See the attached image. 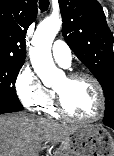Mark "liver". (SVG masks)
Here are the masks:
<instances>
[{"label":"liver","mask_w":114,"mask_h":156,"mask_svg":"<svg viewBox=\"0 0 114 156\" xmlns=\"http://www.w3.org/2000/svg\"><path fill=\"white\" fill-rule=\"evenodd\" d=\"M72 129L25 113L0 115V156H38L45 142L59 143Z\"/></svg>","instance_id":"6515ba94"}]
</instances>
